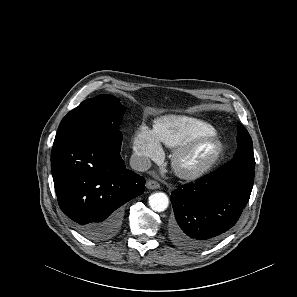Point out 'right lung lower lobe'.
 Wrapping results in <instances>:
<instances>
[{"instance_id": "obj_1", "label": "right lung lower lobe", "mask_w": 297, "mask_h": 297, "mask_svg": "<svg viewBox=\"0 0 297 297\" xmlns=\"http://www.w3.org/2000/svg\"><path fill=\"white\" fill-rule=\"evenodd\" d=\"M121 144L120 133L112 130L54 140L51 170L59 206L92 240L115 236L123 205L145 189V179L126 169Z\"/></svg>"}]
</instances>
